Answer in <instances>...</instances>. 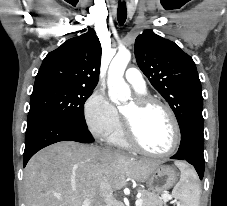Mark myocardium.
I'll return each mask as SVG.
<instances>
[{
  "instance_id": "1",
  "label": "myocardium",
  "mask_w": 227,
  "mask_h": 206,
  "mask_svg": "<svg viewBox=\"0 0 227 206\" xmlns=\"http://www.w3.org/2000/svg\"><path fill=\"white\" fill-rule=\"evenodd\" d=\"M134 102L139 111H143L152 106L162 108L167 113L172 122L174 129V141L171 148L165 152H153L146 149L137 137L134 124L123 115V134L128 144L137 151L146 155L154 157H166L172 155L178 149L181 142V128L172 108L162 100L148 96H138L134 99Z\"/></svg>"
}]
</instances>
